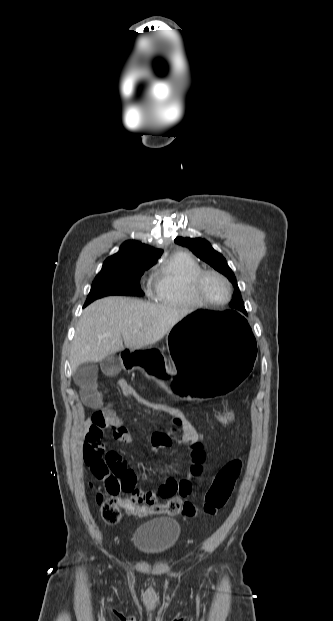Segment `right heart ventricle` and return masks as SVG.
Masks as SVG:
<instances>
[{"label": "right heart ventricle", "mask_w": 333, "mask_h": 621, "mask_svg": "<svg viewBox=\"0 0 333 621\" xmlns=\"http://www.w3.org/2000/svg\"><path fill=\"white\" fill-rule=\"evenodd\" d=\"M200 271L201 266L190 255L185 253L172 255L156 268L151 297L167 305H197L190 287L193 278Z\"/></svg>", "instance_id": "e07e8e85"}]
</instances>
